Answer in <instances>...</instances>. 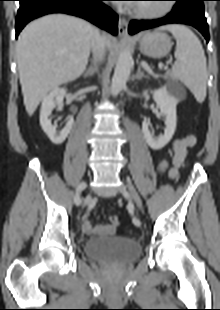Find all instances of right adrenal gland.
I'll return each mask as SVG.
<instances>
[{"label": "right adrenal gland", "mask_w": 220, "mask_h": 310, "mask_svg": "<svg viewBox=\"0 0 220 310\" xmlns=\"http://www.w3.org/2000/svg\"><path fill=\"white\" fill-rule=\"evenodd\" d=\"M97 69H98L97 63H96V60L94 58L92 61V65L84 72V74H83L84 78L93 76L94 73L97 72Z\"/></svg>", "instance_id": "obj_1"}]
</instances>
